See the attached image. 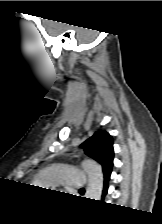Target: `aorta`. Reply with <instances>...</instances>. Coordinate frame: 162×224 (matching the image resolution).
<instances>
[{
  "label": "aorta",
  "instance_id": "1",
  "mask_svg": "<svg viewBox=\"0 0 162 224\" xmlns=\"http://www.w3.org/2000/svg\"><path fill=\"white\" fill-rule=\"evenodd\" d=\"M82 167L88 175L86 198L99 200L103 189V173L101 166L91 159L84 160Z\"/></svg>",
  "mask_w": 162,
  "mask_h": 224
}]
</instances>
